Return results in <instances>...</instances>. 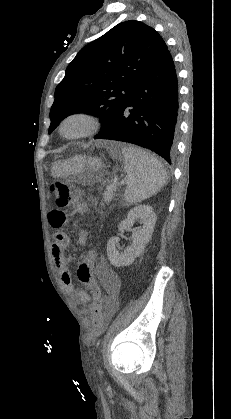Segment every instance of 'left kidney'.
<instances>
[{
    "label": "left kidney",
    "mask_w": 231,
    "mask_h": 419,
    "mask_svg": "<svg viewBox=\"0 0 231 419\" xmlns=\"http://www.w3.org/2000/svg\"><path fill=\"white\" fill-rule=\"evenodd\" d=\"M136 221H140L143 226L135 231L132 235L131 245L122 254H119L115 247L119 241L118 237L110 238L107 243V256L114 267L130 265L143 252L145 245L152 236L156 223V214L153 208L148 205H141L131 209L127 214V218L118 225L119 231L133 226Z\"/></svg>",
    "instance_id": "obj_1"
}]
</instances>
